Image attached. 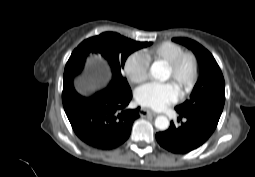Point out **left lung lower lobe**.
<instances>
[{
  "label": "left lung lower lobe",
  "instance_id": "1",
  "mask_svg": "<svg viewBox=\"0 0 255 177\" xmlns=\"http://www.w3.org/2000/svg\"><path fill=\"white\" fill-rule=\"evenodd\" d=\"M184 117L185 123L176 127L171 122L168 130L158 132L156 140L164 149L176 153H189L204 144L214 132L218 121L202 117L180 114V119Z\"/></svg>",
  "mask_w": 255,
  "mask_h": 177
}]
</instances>
